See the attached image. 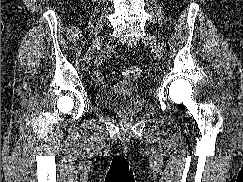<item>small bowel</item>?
<instances>
[{
  "label": "small bowel",
  "mask_w": 243,
  "mask_h": 182,
  "mask_svg": "<svg viewBox=\"0 0 243 182\" xmlns=\"http://www.w3.org/2000/svg\"><path fill=\"white\" fill-rule=\"evenodd\" d=\"M112 49H107L105 51H103L102 53H100L96 60H95V82L100 85L103 82V77H102V73H101V67L103 65V62L105 61V59L112 54ZM118 89L122 90V91H128L130 89V83L128 81H122L119 83V85L117 86Z\"/></svg>",
  "instance_id": "small-bowel-1"
}]
</instances>
